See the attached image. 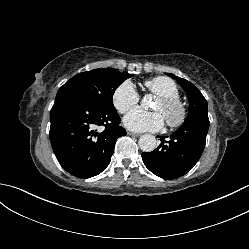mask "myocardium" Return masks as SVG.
<instances>
[{
    "label": "myocardium",
    "instance_id": "1",
    "mask_svg": "<svg viewBox=\"0 0 249 249\" xmlns=\"http://www.w3.org/2000/svg\"><path fill=\"white\" fill-rule=\"evenodd\" d=\"M159 101L163 105L166 115V123L170 128H178L187 119L188 110L186 105L176 97L160 96Z\"/></svg>",
    "mask_w": 249,
    "mask_h": 249
}]
</instances>
